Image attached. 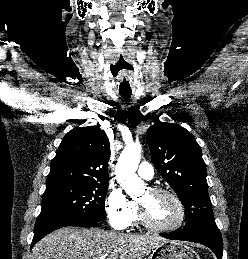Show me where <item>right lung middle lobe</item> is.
Instances as JSON below:
<instances>
[{
  "label": "right lung middle lobe",
  "mask_w": 248,
  "mask_h": 259,
  "mask_svg": "<svg viewBox=\"0 0 248 259\" xmlns=\"http://www.w3.org/2000/svg\"><path fill=\"white\" fill-rule=\"evenodd\" d=\"M108 182H60L46 184L39 217L61 216L86 223L106 218Z\"/></svg>",
  "instance_id": "1"
}]
</instances>
